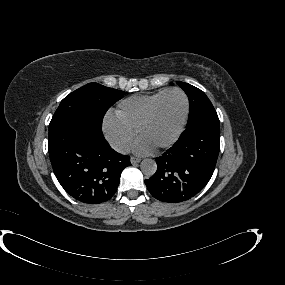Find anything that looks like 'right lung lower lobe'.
<instances>
[{"instance_id": "right-lung-lower-lobe-1", "label": "right lung lower lobe", "mask_w": 285, "mask_h": 285, "mask_svg": "<svg viewBox=\"0 0 285 285\" xmlns=\"http://www.w3.org/2000/svg\"><path fill=\"white\" fill-rule=\"evenodd\" d=\"M48 150L54 174L76 200L98 204L116 192L130 157L113 150L101 128L86 122L66 123L49 134Z\"/></svg>"}]
</instances>
